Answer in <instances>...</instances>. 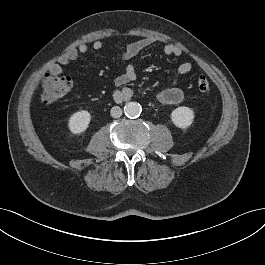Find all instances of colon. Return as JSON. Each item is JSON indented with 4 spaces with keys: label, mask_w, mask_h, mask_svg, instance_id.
I'll return each instance as SVG.
<instances>
[{
    "label": "colon",
    "mask_w": 265,
    "mask_h": 265,
    "mask_svg": "<svg viewBox=\"0 0 265 265\" xmlns=\"http://www.w3.org/2000/svg\"><path fill=\"white\" fill-rule=\"evenodd\" d=\"M197 87L201 92L210 90L208 79L201 76L197 80ZM71 88V81L68 77L55 74L47 75L42 84L41 99L44 103H52L64 97Z\"/></svg>",
    "instance_id": "obj_1"
}]
</instances>
